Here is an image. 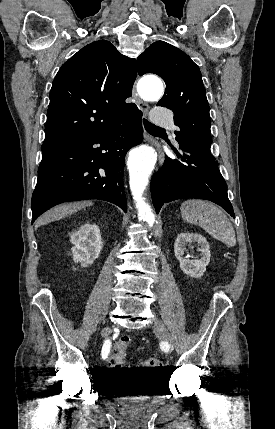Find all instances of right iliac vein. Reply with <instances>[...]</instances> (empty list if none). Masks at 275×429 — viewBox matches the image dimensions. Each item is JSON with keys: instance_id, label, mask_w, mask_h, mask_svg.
<instances>
[{"instance_id": "1", "label": "right iliac vein", "mask_w": 275, "mask_h": 429, "mask_svg": "<svg viewBox=\"0 0 275 429\" xmlns=\"http://www.w3.org/2000/svg\"><path fill=\"white\" fill-rule=\"evenodd\" d=\"M111 330L110 328H104L102 331L103 336H108L110 334Z\"/></svg>"}]
</instances>
